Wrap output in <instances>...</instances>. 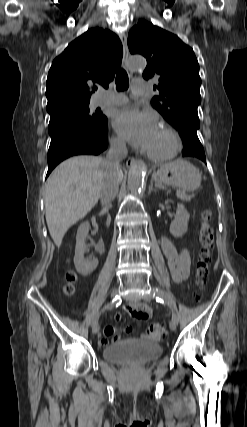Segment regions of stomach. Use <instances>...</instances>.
I'll return each mask as SVG.
<instances>
[{
    "instance_id": "0dacf381",
    "label": "stomach",
    "mask_w": 247,
    "mask_h": 427,
    "mask_svg": "<svg viewBox=\"0 0 247 427\" xmlns=\"http://www.w3.org/2000/svg\"><path fill=\"white\" fill-rule=\"evenodd\" d=\"M158 184L177 186L182 192H193L201 183V174L190 162L177 159L164 166L153 176Z\"/></svg>"
}]
</instances>
